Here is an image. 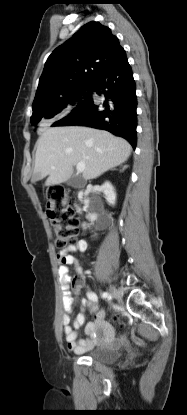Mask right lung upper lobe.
<instances>
[{"instance_id":"obj_1","label":"right lung upper lobe","mask_w":187,"mask_h":415,"mask_svg":"<svg viewBox=\"0 0 187 415\" xmlns=\"http://www.w3.org/2000/svg\"><path fill=\"white\" fill-rule=\"evenodd\" d=\"M123 51L108 27L95 21L85 24L47 59L32 108L55 103L93 83Z\"/></svg>"}]
</instances>
